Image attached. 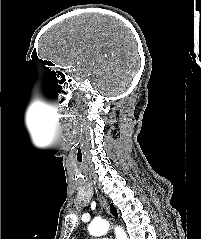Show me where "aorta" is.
I'll list each match as a JSON object with an SVG mask.
<instances>
[{
  "instance_id": "1",
  "label": "aorta",
  "mask_w": 201,
  "mask_h": 239,
  "mask_svg": "<svg viewBox=\"0 0 201 239\" xmlns=\"http://www.w3.org/2000/svg\"><path fill=\"white\" fill-rule=\"evenodd\" d=\"M110 228V224L106 220H96L89 224L88 231L93 236L105 235ZM116 239H128L125 231L120 227H115Z\"/></svg>"
}]
</instances>
